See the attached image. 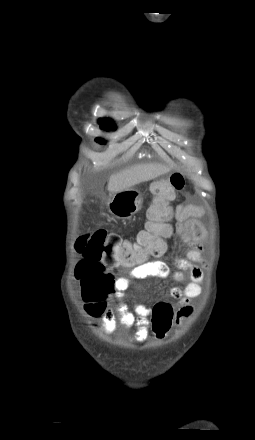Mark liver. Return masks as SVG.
<instances>
[{
  "label": "liver",
  "mask_w": 255,
  "mask_h": 440,
  "mask_svg": "<svg viewBox=\"0 0 255 440\" xmlns=\"http://www.w3.org/2000/svg\"><path fill=\"white\" fill-rule=\"evenodd\" d=\"M169 171V167L157 163L135 165L113 174L109 179L107 189L110 193H118Z\"/></svg>",
  "instance_id": "1"
}]
</instances>
